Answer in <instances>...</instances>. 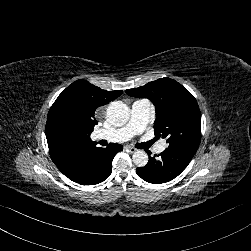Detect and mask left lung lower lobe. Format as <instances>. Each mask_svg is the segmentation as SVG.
Masks as SVG:
<instances>
[{
	"instance_id": "0a47b994",
	"label": "left lung lower lobe",
	"mask_w": 251,
	"mask_h": 251,
	"mask_svg": "<svg viewBox=\"0 0 251 251\" xmlns=\"http://www.w3.org/2000/svg\"><path fill=\"white\" fill-rule=\"evenodd\" d=\"M144 167L136 169L137 175L143 180L153 183H166L182 173L196 152L181 147H167L162 153L150 156Z\"/></svg>"
}]
</instances>
